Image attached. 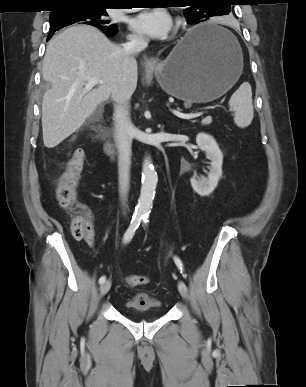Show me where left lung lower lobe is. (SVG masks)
I'll return each mask as SVG.
<instances>
[{"instance_id":"left-lung-lower-lobe-1","label":"left lung lower lobe","mask_w":306,"mask_h":387,"mask_svg":"<svg viewBox=\"0 0 306 387\" xmlns=\"http://www.w3.org/2000/svg\"><path fill=\"white\" fill-rule=\"evenodd\" d=\"M223 34L224 33L218 32V31H207L204 33H195V34L190 36L189 41L196 42V41L203 39L205 36L206 37H213V38H223Z\"/></svg>"}]
</instances>
